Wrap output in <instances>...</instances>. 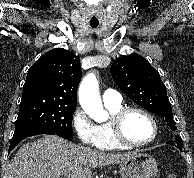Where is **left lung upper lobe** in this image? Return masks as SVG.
<instances>
[{
  "instance_id": "1",
  "label": "left lung upper lobe",
  "mask_w": 194,
  "mask_h": 178,
  "mask_svg": "<svg viewBox=\"0 0 194 178\" xmlns=\"http://www.w3.org/2000/svg\"><path fill=\"white\" fill-rule=\"evenodd\" d=\"M111 75L123 93L144 109L163 117L176 130L166 87L159 72L142 56L133 53L116 59Z\"/></svg>"
}]
</instances>
